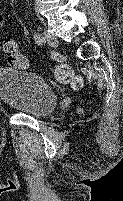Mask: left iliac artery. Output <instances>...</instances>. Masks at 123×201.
I'll return each instance as SVG.
<instances>
[{
  "instance_id": "1",
  "label": "left iliac artery",
  "mask_w": 123,
  "mask_h": 201,
  "mask_svg": "<svg viewBox=\"0 0 123 201\" xmlns=\"http://www.w3.org/2000/svg\"><path fill=\"white\" fill-rule=\"evenodd\" d=\"M34 40H35V42H36L37 44H39V45H41V44L44 43V38H43V36H42L41 34H39V33H36V34L34 35Z\"/></svg>"
}]
</instances>
